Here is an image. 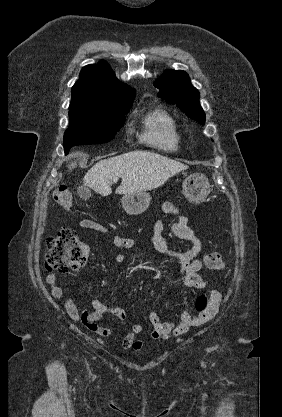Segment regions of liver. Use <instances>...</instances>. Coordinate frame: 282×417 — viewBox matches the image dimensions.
Returning <instances> with one entry per match:
<instances>
[{
  "instance_id": "6515ba94",
  "label": "liver",
  "mask_w": 282,
  "mask_h": 417,
  "mask_svg": "<svg viewBox=\"0 0 282 417\" xmlns=\"http://www.w3.org/2000/svg\"><path fill=\"white\" fill-rule=\"evenodd\" d=\"M76 162L69 164V168H75ZM187 164L162 156L157 152L146 150H132L124 152L112 158L98 160L92 168L86 172L83 182L102 196L111 194L110 186L114 178H122L120 186H117L116 194H128V192H142L162 186L170 176H174L181 170H186Z\"/></svg>"
}]
</instances>
